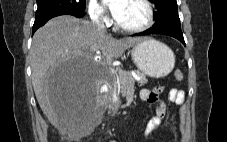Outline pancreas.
Segmentation results:
<instances>
[{
  "instance_id": "obj_1",
  "label": "pancreas",
  "mask_w": 227,
  "mask_h": 142,
  "mask_svg": "<svg viewBox=\"0 0 227 142\" xmlns=\"http://www.w3.org/2000/svg\"><path fill=\"white\" fill-rule=\"evenodd\" d=\"M133 73L140 78L138 83L141 86L145 85L148 82L146 75L143 72L135 70ZM133 73L129 71L119 70V76L116 81V88L118 92L122 95V97L127 96L128 90L130 89L131 85H134L135 80L133 77Z\"/></svg>"
}]
</instances>
